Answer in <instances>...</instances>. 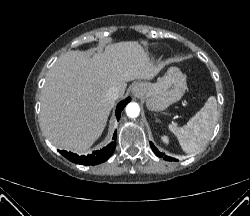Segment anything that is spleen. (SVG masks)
<instances>
[{
  "instance_id": "1",
  "label": "spleen",
  "mask_w": 250,
  "mask_h": 216,
  "mask_svg": "<svg viewBox=\"0 0 250 216\" xmlns=\"http://www.w3.org/2000/svg\"><path fill=\"white\" fill-rule=\"evenodd\" d=\"M217 101L211 96L205 105L197 112L186 125L178 127L169 124V130L177 137L181 148L186 153H196L204 148L212 134L217 122Z\"/></svg>"
}]
</instances>
